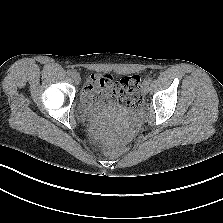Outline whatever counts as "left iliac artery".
I'll use <instances>...</instances> for the list:
<instances>
[{"mask_svg": "<svg viewBox=\"0 0 223 223\" xmlns=\"http://www.w3.org/2000/svg\"><path fill=\"white\" fill-rule=\"evenodd\" d=\"M146 82H148V83L152 82V77H148V79L146 80Z\"/></svg>", "mask_w": 223, "mask_h": 223, "instance_id": "1", "label": "left iliac artery"}]
</instances>
